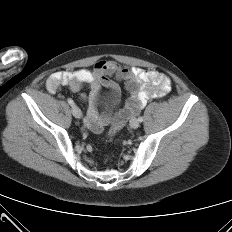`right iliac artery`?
Here are the masks:
<instances>
[{"label": "right iliac artery", "instance_id": "obj_1", "mask_svg": "<svg viewBox=\"0 0 232 232\" xmlns=\"http://www.w3.org/2000/svg\"><path fill=\"white\" fill-rule=\"evenodd\" d=\"M67 102H68L71 106L74 105V101H73L71 98H68V99H67Z\"/></svg>", "mask_w": 232, "mask_h": 232}]
</instances>
